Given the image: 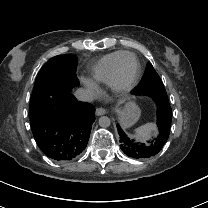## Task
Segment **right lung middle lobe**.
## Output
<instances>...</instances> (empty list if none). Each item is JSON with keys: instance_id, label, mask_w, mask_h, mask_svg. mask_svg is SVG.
I'll return each instance as SVG.
<instances>
[{"instance_id": "right-lung-middle-lobe-1", "label": "right lung middle lobe", "mask_w": 208, "mask_h": 208, "mask_svg": "<svg viewBox=\"0 0 208 208\" xmlns=\"http://www.w3.org/2000/svg\"><path fill=\"white\" fill-rule=\"evenodd\" d=\"M77 57L74 55H58L47 61L41 68L35 81L33 93L30 100V119L38 116L36 110V95L42 89L52 88L59 93L71 92L73 87L79 85L76 77Z\"/></svg>"}]
</instances>
